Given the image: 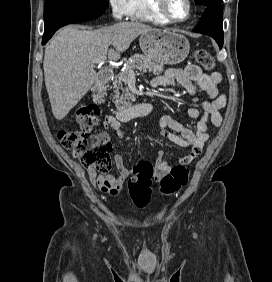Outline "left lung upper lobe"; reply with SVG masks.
<instances>
[{
    "label": "left lung upper lobe",
    "mask_w": 272,
    "mask_h": 282,
    "mask_svg": "<svg viewBox=\"0 0 272 282\" xmlns=\"http://www.w3.org/2000/svg\"><path fill=\"white\" fill-rule=\"evenodd\" d=\"M195 2L203 5L204 7L221 4V0H195Z\"/></svg>",
    "instance_id": "1"
}]
</instances>
